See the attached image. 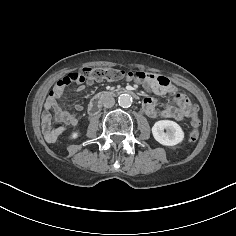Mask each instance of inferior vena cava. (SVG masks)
<instances>
[{
  "label": "inferior vena cava",
  "mask_w": 236,
  "mask_h": 236,
  "mask_svg": "<svg viewBox=\"0 0 236 236\" xmlns=\"http://www.w3.org/2000/svg\"><path fill=\"white\" fill-rule=\"evenodd\" d=\"M102 103L105 108H111L115 104V99L112 96H107L103 99Z\"/></svg>",
  "instance_id": "1"
}]
</instances>
